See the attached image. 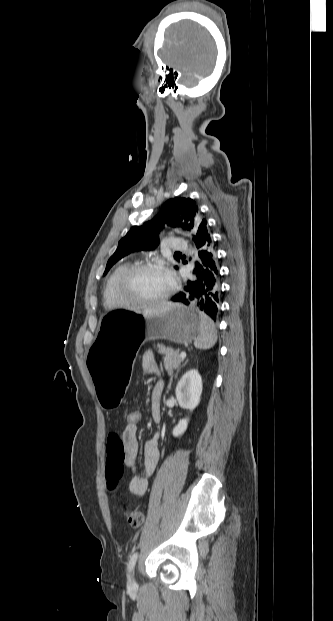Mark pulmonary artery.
Returning a JSON list of instances; mask_svg holds the SVG:
<instances>
[{
  "label": "pulmonary artery",
  "mask_w": 333,
  "mask_h": 621,
  "mask_svg": "<svg viewBox=\"0 0 333 621\" xmlns=\"http://www.w3.org/2000/svg\"><path fill=\"white\" fill-rule=\"evenodd\" d=\"M187 247V242L182 238L175 237L171 238L169 241V248L172 251H182L187 249Z\"/></svg>",
  "instance_id": "pulmonary-artery-1"
}]
</instances>
